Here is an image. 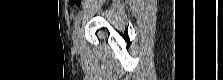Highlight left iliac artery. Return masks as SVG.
Instances as JSON below:
<instances>
[{"mask_svg": "<svg viewBox=\"0 0 223 80\" xmlns=\"http://www.w3.org/2000/svg\"><path fill=\"white\" fill-rule=\"evenodd\" d=\"M81 18H82V12H79L75 17V21H74L75 28L79 25Z\"/></svg>", "mask_w": 223, "mask_h": 80, "instance_id": "1", "label": "left iliac artery"}]
</instances>
